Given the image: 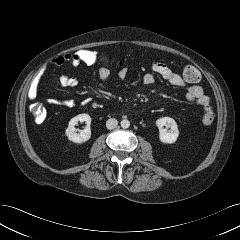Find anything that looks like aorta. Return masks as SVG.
<instances>
[{
  "mask_svg": "<svg viewBox=\"0 0 240 240\" xmlns=\"http://www.w3.org/2000/svg\"><path fill=\"white\" fill-rule=\"evenodd\" d=\"M120 124H121V127L124 129L129 128L130 126V122L128 119H123Z\"/></svg>",
  "mask_w": 240,
  "mask_h": 240,
  "instance_id": "aorta-1",
  "label": "aorta"
}]
</instances>
